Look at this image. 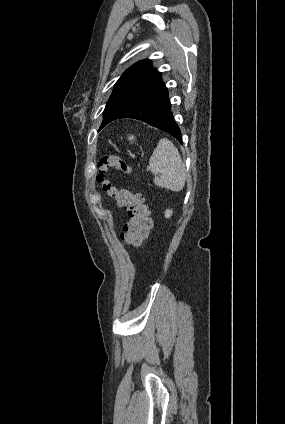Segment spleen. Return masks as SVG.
<instances>
[{
  "mask_svg": "<svg viewBox=\"0 0 285 424\" xmlns=\"http://www.w3.org/2000/svg\"><path fill=\"white\" fill-rule=\"evenodd\" d=\"M148 170L152 172L154 183L172 191H181L186 181L185 165L175 145L168 139H161L154 149Z\"/></svg>",
  "mask_w": 285,
  "mask_h": 424,
  "instance_id": "obj_1",
  "label": "spleen"
}]
</instances>
